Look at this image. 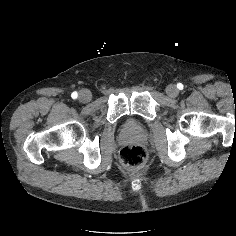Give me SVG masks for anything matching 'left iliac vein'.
<instances>
[{"label":"left iliac vein","mask_w":236,"mask_h":236,"mask_svg":"<svg viewBox=\"0 0 236 236\" xmlns=\"http://www.w3.org/2000/svg\"><path fill=\"white\" fill-rule=\"evenodd\" d=\"M166 93L168 96L175 98L178 96L179 90L177 89V87L175 85L170 84L166 87Z\"/></svg>","instance_id":"1"}]
</instances>
